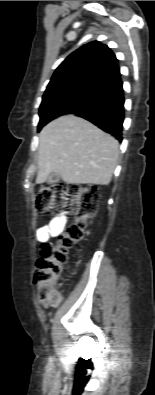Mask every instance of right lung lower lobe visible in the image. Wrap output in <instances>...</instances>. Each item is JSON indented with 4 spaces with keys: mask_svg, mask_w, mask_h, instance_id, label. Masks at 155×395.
I'll return each instance as SVG.
<instances>
[{
    "mask_svg": "<svg viewBox=\"0 0 155 395\" xmlns=\"http://www.w3.org/2000/svg\"><path fill=\"white\" fill-rule=\"evenodd\" d=\"M120 76L110 80L88 101L77 106L68 114H75L92 122L121 142L124 96Z\"/></svg>",
    "mask_w": 155,
    "mask_h": 395,
    "instance_id": "right-lung-lower-lobe-1",
    "label": "right lung lower lobe"
}]
</instances>
